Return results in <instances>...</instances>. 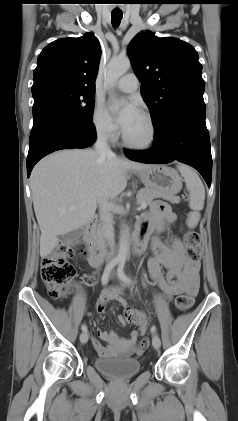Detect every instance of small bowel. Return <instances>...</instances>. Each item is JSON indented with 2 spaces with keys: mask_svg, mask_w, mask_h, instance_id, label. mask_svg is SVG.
<instances>
[{
  "mask_svg": "<svg viewBox=\"0 0 238 421\" xmlns=\"http://www.w3.org/2000/svg\"><path fill=\"white\" fill-rule=\"evenodd\" d=\"M176 215L165 202H156L149 212L142 215L137 224V232L147 239L151 238L152 256L148 260V268L154 282L168 299L179 295H187L193 299L198 291L200 263L192 261L186 254L185 246L179 237H173L171 245H166L159 235L176 222ZM91 265V264H90ZM163 268L167 269L166 275ZM124 286L107 288L97 302L99 314L104 313L110 302H117L123 313L119 316L121 324L133 323L139 330L133 331L126 339H121L116 332L98 330L99 338L108 343L103 346L97 339H92L96 352L102 357H114L116 349L113 345L120 344V352L130 355L140 334H144L149 317L145 312L137 311L128 306L124 296Z\"/></svg>",
  "mask_w": 238,
  "mask_h": 421,
  "instance_id": "c3829d8e",
  "label": "small bowel"
}]
</instances>
